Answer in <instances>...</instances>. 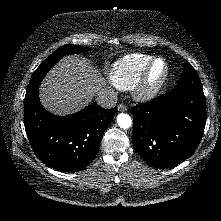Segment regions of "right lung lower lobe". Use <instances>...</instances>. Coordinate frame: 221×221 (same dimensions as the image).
<instances>
[{
  "instance_id": "obj_1",
  "label": "right lung lower lobe",
  "mask_w": 221,
  "mask_h": 221,
  "mask_svg": "<svg viewBox=\"0 0 221 221\" xmlns=\"http://www.w3.org/2000/svg\"><path fill=\"white\" fill-rule=\"evenodd\" d=\"M39 86L27 90L24 99V125L34 153L53 169H84L98 153L117 108L87 106L73 115L55 116L42 107Z\"/></svg>"
}]
</instances>
